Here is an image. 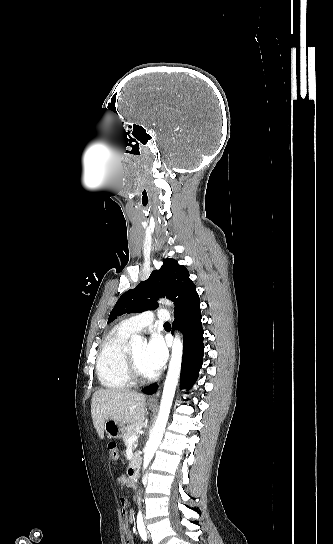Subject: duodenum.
Returning <instances> with one entry per match:
<instances>
[{"label":"duodenum","instance_id":"duodenum-1","mask_svg":"<svg viewBox=\"0 0 333 544\" xmlns=\"http://www.w3.org/2000/svg\"><path fill=\"white\" fill-rule=\"evenodd\" d=\"M139 473V466L136 463H132L128 469V476L130 479H136Z\"/></svg>","mask_w":333,"mask_h":544}]
</instances>
